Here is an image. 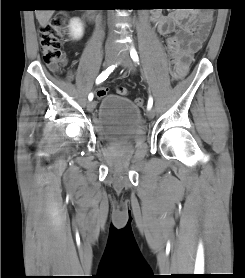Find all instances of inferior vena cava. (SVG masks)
I'll return each mask as SVG.
<instances>
[{"label":"inferior vena cava","instance_id":"1","mask_svg":"<svg viewBox=\"0 0 245 278\" xmlns=\"http://www.w3.org/2000/svg\"><path fill=\"white\" fill-rule=\"evenodd\" d=\"M115 31L113 28H111L110 34H109V41H113L115 39Z\"/></svg>","mask_w":245,"mask_h":278}]
</instances>
